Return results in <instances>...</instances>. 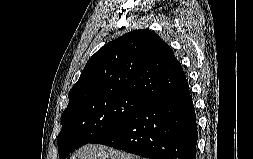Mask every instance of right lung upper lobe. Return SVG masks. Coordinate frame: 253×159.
<instances>
[{"instance_id": "right-lung-upper-lobe-1", "label": "right lung upper lobe", "mask_w": 253, "mask_h": 159, "mask_svg": "<svg viewBox=\"0 0 253 159\" xmlns=\"http://www.w3.org/2000/svg\"><path fill=\"white\" fill-rule=\"evenodd\" d=\"M186 82L172 49L153 31L140 29L107 43L89 59L69 92V102L123 93L151 101Z\"/></svg>"}]
</instances>
